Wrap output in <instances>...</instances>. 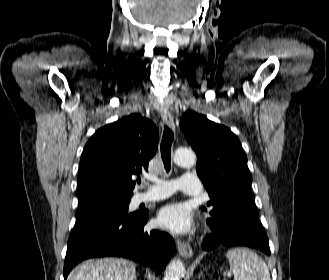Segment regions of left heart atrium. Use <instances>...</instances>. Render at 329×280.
Instances as JSON below:
<instances>
[{
  "label": "left heart atrium",
  "mask_w": 329,
  "mask_h": 280,
  "mask_svg": "<svg viewBox=\"0 0 329 280\" xmlns=\"http://www.w3.org/2000/svg\"><path fill=\"white\" fill-rule=\"evenodd\" d=\"M157 223L159 226L179 234L189 232L192 226L189 212L180 204L163 207L158 213Z\"/></svg>",
  "instance_id": "39dd6f15"
}]
</instances>
